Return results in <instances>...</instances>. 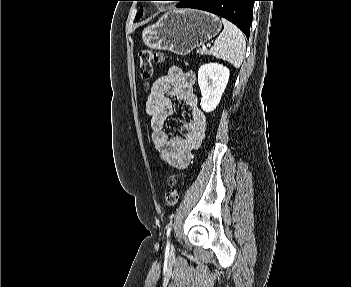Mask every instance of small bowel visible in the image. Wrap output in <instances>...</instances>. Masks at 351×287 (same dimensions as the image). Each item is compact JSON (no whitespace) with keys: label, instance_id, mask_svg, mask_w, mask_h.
Here are the masks:
<instances>
[{"label":"small bowel","instance_id":"1","mask_svg":"<svg viewBox=\"0 0 351 287\" xmlns=\"http://www.w3.org/2000/svg\"><path fill=\"white\" fill-rule=\"evenodd\" d=\"M193 85L192 72L172 66L154 82L145 105L151 119V138L155 149L164 160L177 168L187 167L192 151L201 144L206 130V116L199 107ZM171 98L184 104L191 117L172 137L166 132V122L174 114Z\"/></svg>","mask_w":351,"mask_h":287}]
</instances>
